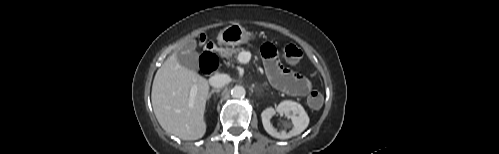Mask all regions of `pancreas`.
<instances>
[{
    "mask_svg": "<svg viewBox=\"0 0 499 154\" xmlns=\"http://www.w3.org/2000/svg\"><path fill=\"white\" fill-rule=\"evenodd\" d=\"M244 49L243 48H225V49H221V55L228 59L229 61L232 62V56L233 55H236L240 52H243Z\"/></svg>",
    "mask_w": 499,
    "mask_h": 154,
    "instance_id": "obj_1",
    "label": "pancreas"
}]
</instances>
